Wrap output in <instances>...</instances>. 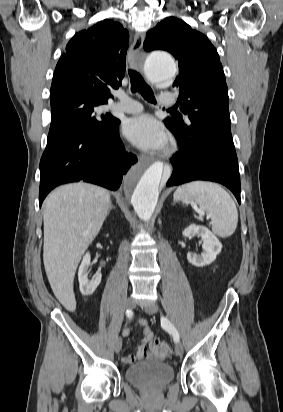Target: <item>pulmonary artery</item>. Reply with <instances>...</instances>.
<instances>
[{"label": "pulmonary artery", "instance_id": "pulmonary-artery-1", "mask_svg": "<svg viewBox=\"0 0 283 412\" xmlns=\"http://www.w3.org/2000/svg\"><path fill=\"white\" fill-rule=\"evenodd\" d=\"M119 99L120 102L115 105V108L121 112L135 114L141 112L143 109L142 105L138 101L126 95H119ZM158 101L162 106H173L177 102V97L171 93H166L162 94Z\"/></svg>", "mask_w": 283, "mask_h": 412}]
</instances>
